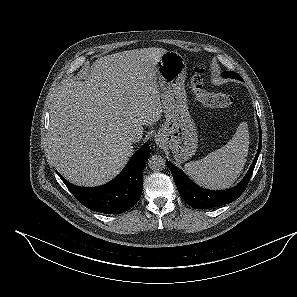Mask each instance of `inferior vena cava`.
Returning <instances> with one entry per match:
<instances>
[{
    "instance_id": "inferior-vena-cava-1",
    "label": "inferior vena cava",
    "mask_w": 297,
    "mask_h": 297,
    "mask_svg": "<svg viewBox=\"0 0 297 297\" xmlns=\"http://www.w3.org/2000/svg\"><path fill=\"white\" fill-rule=\"evenodd\" d=\"M142 138V134L139 130L135 129L132 130L131 132L128 133L127 135V141L131 142V143H135L140 141V139Z\"/></svg>"
}]
</instances>
